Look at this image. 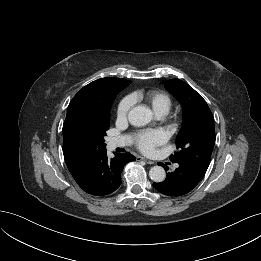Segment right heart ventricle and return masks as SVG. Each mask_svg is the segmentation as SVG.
<instances>
[{
    "instance_id": "right-heart-ventricle-1",
    "label": "right heart ventricle",
    "mask_w": 261,
    "mask_h": 261,
    "mask_svg": "<svg viewBox=\"0 0 261 261\" xmlns=\"http://www.w3.org/2000/svg\"><path fill=\"white\" fill-rule=\"evenodd\" d=\"M130 97L133 102L141 100L145 101L159 117L166 115L172 106L170 96L160 90H152L145 93L134 92Z\"/></svg>"
}]
</instances>
